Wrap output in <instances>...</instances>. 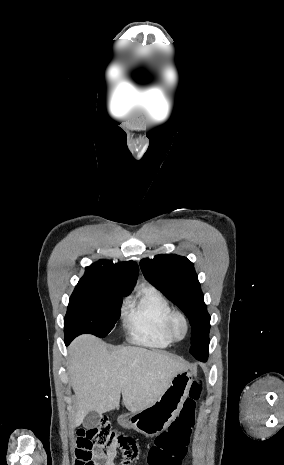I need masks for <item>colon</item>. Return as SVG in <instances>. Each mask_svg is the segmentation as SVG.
<instances>
[{
	"label": "colon",
	"instance_id": "5ec220e1",
	"mask_svg": "<svg viewBox=\"0 0 284 465\" xmlns=\"http://www.w3.org/2000/svg\"><path fill=\"white\" fill-rule=\"evenodd\" d=\"M202 396V386L199 380H194L190 387L187 399L181 405L177 420L172 421L165 435L156 438L158 445L150 446L147 457L148 465H180L187 454L188 441L194 427L195 415L191 413L197 401ZM76 446L74 450V465H98L92 461L91 455L84 451H91L94 447H105L115 444L121 447L127 458H134L140 454L138 439L134 436H125L111 429L108 422H100L79 429L76 432ZM127 465V463H124Z\"/></svg>",
	"mask_w": 284,
	"mask_h": 465
}]
</instances>
